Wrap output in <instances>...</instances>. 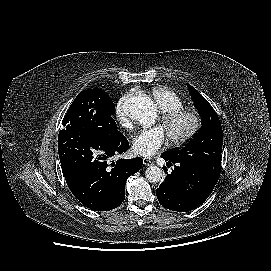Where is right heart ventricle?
<instances>
[{
    "mask_svg": "<svg viewBox=\"0 0 271 271\" xmlns=\"http://www.w3.org/2000/svg\"><path fill=\"white\" fill-rule=\"evenodd\" d=\"M151 94L162 112L183 107L182 99L165 87H155L152 89Z\"/></svg>",
    "mask_w": 271,
    "mask_h": 271,
    "instance_id": "obj_1",
    "label": "right heart ventricle"
}]
</instances>
